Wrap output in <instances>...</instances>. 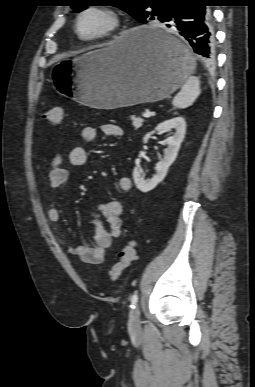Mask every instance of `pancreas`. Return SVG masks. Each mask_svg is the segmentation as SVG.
Returning a JSON list of instances; mask_svg holds the SVG:
<instances>
[{
	"mask_svg": "<svg viewBox=\"0 0 255 387\" xmlns=\"http://www.w3.org/2000/svg\"><path fill=\"white\" fill-rule=\"evenodd\" d=\"M132 125L135 129H139L142 127L144 120L140 117L131 116Z\"/></svg>",
	"mask_w": 255,
	"mask_h": 387,
	"instance_id": "pancreas-1",
	"label": "pancreas"
}]
</instances>
